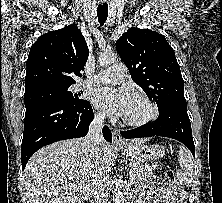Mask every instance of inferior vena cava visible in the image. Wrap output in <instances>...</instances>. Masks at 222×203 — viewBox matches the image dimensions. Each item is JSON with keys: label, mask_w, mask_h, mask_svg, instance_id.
<instances>
[{"label": "inferior vena cava", "mask_w": 222, "mask_h": 203, "mask_svg": "<svg viewBox=\"0 0 222 203\" xmlns=\"http://www.w3.org/2000/svg\"><path fill=\"white\" fill-rule=\"evenodd\" d=\"M104 124V115L94 116L89 126L88 134L83 138V145L89 157L95 158L100 154L99 146L104 141L101 131ZM90 203L108 202V176L104 171H99L89 186Z\"/></svg>", "instance_id": "1"}]
</instances>
